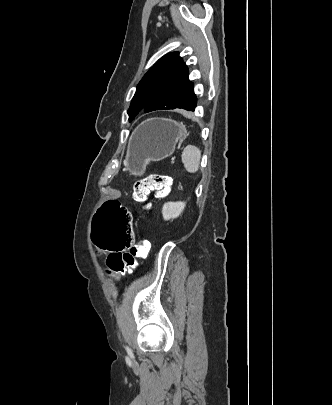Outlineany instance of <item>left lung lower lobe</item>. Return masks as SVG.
<instances>
[{
	"label": "left lung lower lobe",
	"instance_id": "0a47b994",
	"mask_svg": "<svg viewBox=\"0 0 332 405\" xmlns=\"http://www.w3.org/2000/svg\"><path fill=\"white\" fill-rule=\"evenodd\" d=\"M194 110H195V108L193 110H190V111H194ZM145 112H150V111H146V108H145Z\"/></svg>",
	"mask_w": 332,
	"mask_h": 405
}]
</instances>
